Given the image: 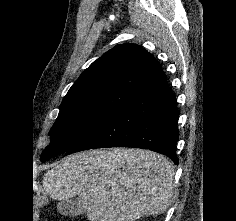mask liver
I'll use <instances>...</instances> for the list:
<instances>
[{"label": "liver", "instance_id": "obj_1", "mask_svg": "<svg viewBox=\"0 0 236 221\" xmlns=\"http://www.w3.org/2000/svg\"><path fill=\"white\" fill-rule=\"evenodd\" d=\"M174 174L172 162L150 150H89L55 163L43 187L54 200L78 196L90 221H135L171 205Z\"/></svg>", "mask_w": 236, "mask_h": 221}]
</instances>
